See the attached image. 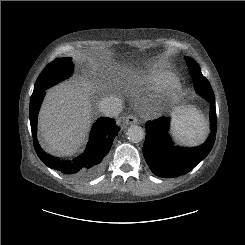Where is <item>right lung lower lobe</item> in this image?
<instances>
[{
  "instance_id": "98d812e1",
  "label": "right lung lower lobe",
  "mask_w": 245,
  "mask_h": 245,
  "mask_svg": "<svg viewBox=\"0 0 245 245\" xmlns=\"http://www.w3.org/2000/svg\"><path fill=\"white\" fill-rule=\"evenodd\" d=\"M45 92L31 96L29 117L34 148L42 162L77 181H85L98 176L105 168L107 154L119 130L114 119L100 118L93 125L89 142L83 154L72 160H58L47 155L37 140V114Z\"/></svg>"
}]
</instances>
